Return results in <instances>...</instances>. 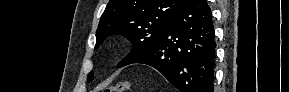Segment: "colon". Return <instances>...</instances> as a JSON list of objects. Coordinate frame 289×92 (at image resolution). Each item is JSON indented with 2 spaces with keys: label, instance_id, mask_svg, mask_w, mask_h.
Here are the masks:
<instances>
[{
  "label": "colon",
  "instance_id": "obj_1",
  "mask_svg": "<svg viewBox=\"0 0 289 92\" xmlns=\"http://www.w3.org/2000/svg\"><path fill=\"white\" fill-rule=\"evenodd\" d=\"M130 88V85L128 82H120L117 83L107 89L104 90V92H122V91H128Z\"/></svg>",
  "mask_w": 289,
  "mask_h": 92
}]
</instances>
